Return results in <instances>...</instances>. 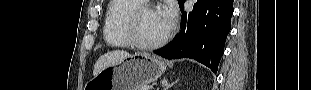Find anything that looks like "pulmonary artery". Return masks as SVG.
I'll return each mask as SVG.
<instances>
[{"label":"pulmonary artery","mask_w":311,"mask_h":90,"mask_svg":"<svg viewBox=\"0 0 311 90\" xmlns=\"http://www.w3.org/2000/svg\"><path fill=\"white\" fill-rule=\"evenodd\" d=\"M141 2H143V3H147L148 2V0H140Z\"/></svg>","instance_id":"obj_1"}]
</instances>
